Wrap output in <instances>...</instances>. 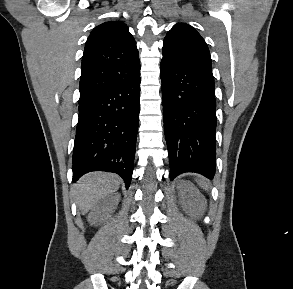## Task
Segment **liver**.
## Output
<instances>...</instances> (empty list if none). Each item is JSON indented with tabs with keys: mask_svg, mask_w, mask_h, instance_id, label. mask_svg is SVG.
I'll use <instances>...</instances> for the list:
<instances>
[{
	"mask_svg": "<svg viewBox=\"0 0 293 289\" xmlns=\"http://www.w3.org/2000/svg\"><path fill=\"white\" fill-rule=\"evenodd\" d=\"M120 178L115 174L92 172L74 185V198L82 214L87 213L103 197L117 191Z\"/></svg>",
	"mask_w": 293,
	"mask_h": 289,
	"instance_id": "6515ba94",
	"label": "liver"
}]
</instances>
